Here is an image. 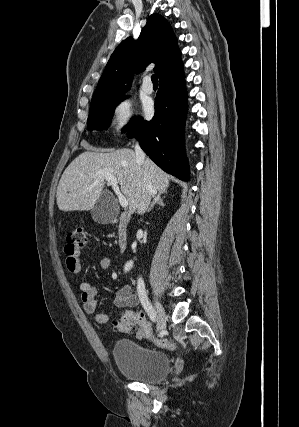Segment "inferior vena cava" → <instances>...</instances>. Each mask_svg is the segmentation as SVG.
<instances>
[{"instance_id": "obj_1", "label": "inferior vena cava", "mask_w": 299, "mask_h": 427, "mask_svg": "<svg viewBox=\"0 0 299 427\" xmlns=\"http://www.w3.org/2000/svg\"><path fill=\"white\" fill-rule=\"evenodd\" d=\"M135 153H136L138 160H140V161L145 160V153L143 152V150L141 149V147L139 146L138 143L135 145ZM144 173L147 176L146 171ZM153 192H154V189H153L151 182L149 180H147V178H145L144 185L142 188V194H141V197L139 199L138 206H137L138 214L142 215L148 210V206L150 204L151 196H152Z\"/></svg>"}]
</instances>
